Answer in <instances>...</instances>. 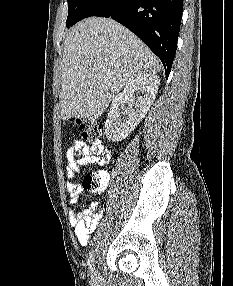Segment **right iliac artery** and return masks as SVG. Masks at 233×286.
Listing matches in <instances>:
<instances>
[{
	"label": "right iliac artery",
	"mask_w": 233,
	"mask_h": 286,
	"mask_svg": "<svg viewBox=\"0 0 233 286\" xmlns=\"http://www.w3.org/2000/svg\"><path fill=\"white\" fill-rule=\"evenodd\" d=\"M88 269L90 271V274L93 273L94 271V251L93 249L90 251L89 253V257H88Z\"/></svg>",
	"instance_id": "obj_1"
}]
</instances>
